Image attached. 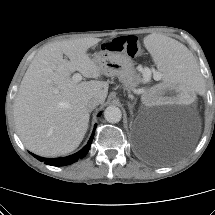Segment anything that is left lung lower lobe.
Segmentation results:
<instances>
[{
    "label": "left lung lower lobe",
    "mask_w": 215,
    "mask_h": 215,
    "mask_svg": "<svg viewBox=\"0 0 215 215\" xmlns=\"http://www.w3.org/2000/svg\"><path fill=\"white\" fill-rule=\"evenodd\" d=\"M143 153L150 158H157L160 154L159 148L149 147L146 145L142 146Z\"/></svg>",
    "instance_id": "0a47b994"
}]
</instances>
